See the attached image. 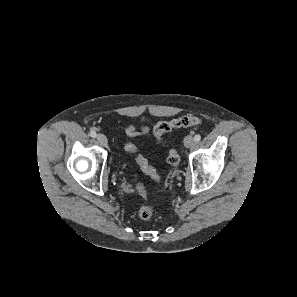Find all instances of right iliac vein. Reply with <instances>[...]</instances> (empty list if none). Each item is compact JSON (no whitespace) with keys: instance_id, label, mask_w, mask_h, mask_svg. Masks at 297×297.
<instances>
[{"instance_id":"obj_1","label":"right iliac vein","mask_w":297,"mask_h":297,"mask_svg":"<svg viewBox=\"0 0 297 297\" xmlns=\"http://www.w3.org/2000/svg\"><path fill=\"white\" fill-rule=\"evenodd\" d=\"M96 138H97V141H98V143H99L100 145H102V146H106V145H107L108 140H107V138H106L105 135H103V134H98Z\"/></svg>"}]
</instances>
